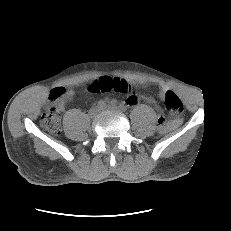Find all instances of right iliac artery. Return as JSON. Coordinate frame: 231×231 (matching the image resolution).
Wrapping results in <instances>:
<instances>
[{
  "mask_svg": "<svg viewBox=\"0 0 231 231\" xmlns=\"http://www.w3.org/2000/svg\"><path fill=\"white\" fill-rule=\"evenodd\" d=\"M106 106V103H105V101H103V100H100L99 102H98V107L99 108H104Z\"/></svg>",
  "mask_w": 231,
  "mask_h": 231,
  "instance_id": "1",
  "label": "right iliac artery"
}]
</instances>
